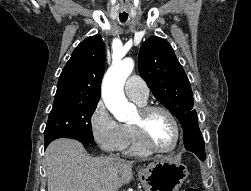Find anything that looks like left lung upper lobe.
<instances>
[{
    "instance_id": "1",
    "label": "left lung upper lobe",
    "mask_w": 251,
    "mask_h": 191,
    "mask_svg": "<svg viewBox=\"0 0 251 191\" xmlns=\"http://www.w3.org/2000/svg\"><path fill=\"white\" fill-rule=\"evenodd\" d=\"M138 70L154 97L180 120L185 148L204 161V141L193 109L190 82L171 45L160 37L148 38L139 52Z\"/></svg>"
}]
</instances>
